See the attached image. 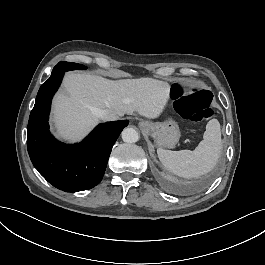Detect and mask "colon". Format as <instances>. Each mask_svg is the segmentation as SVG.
Returning a JSON list of instances; mask_svg holds the SVG:
<instances>
[{"label": "colon", "instance_id": "5ec220e1", "mask_svg": "<svg viewBox=\"0 0 265 265\" xmlns=\"http://www.w3.org/2000/svg\"><path fill=\"white\" fill-rule=\"evenodd\" d=\"M171 99L176 111L192 122L209 119L214 115L212 96L204 85H177L172 90Z\"/></svg>", "mask_w": 265, "mask_h": 265}]
</instances>
